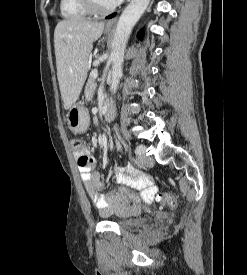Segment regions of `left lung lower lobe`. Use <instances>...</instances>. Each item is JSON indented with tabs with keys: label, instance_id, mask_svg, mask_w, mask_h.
I'll use <instances>...</instances> for the list:
<instances>
[{
	"label": "left lung lower lobe",
	"instance_id": "1",
	"mask_svg": "<svg viewBox=\"0 0 247 275\" xmlns=\"http://www.w3.org/2000/svg\"><path fill=\"white\" fill-rule=\"evenodd\" d=\"M116 15V13H114V14H112V15H109V16H107L106 18H113L114 16ZM140 40H141V38H140Z\"/></svg>",
	"mask_w": 247,
	"mask_h": 275
}]
</instances>
